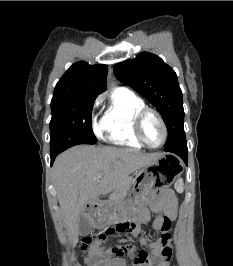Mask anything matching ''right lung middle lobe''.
Listing matches in <instances>:
<instances>
[{
	"instance_id": "1",
	"label": "right lung middle lobe",
	"mask_w": 233,
	"mask_h": 266,
	"mask_svg": "<svg viewBox=\"0 0 233 266\" xmlns=\"http://www.w3.org/2000/svg\"><path fill=\"white\" fill-rule=\"evenodd\" d=\"M96 96H75L51 101L50 152L60 153L77 144H94L91 113Z\"/></svg>"
}]
</instances>
